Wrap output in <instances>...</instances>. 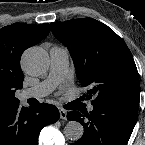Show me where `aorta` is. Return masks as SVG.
Listing matches in <instances>:
<instances>
[{
	"label": "aorta",
	"mask_w": 145,
	"mask_h": 145,
	"mask_svg": "<svg viewBox=\"0 0 145 145\" xmlns=\"http://www.w3.org/2000/svg\"><path fill=\"white\" fill-rule=\"evenodd\" d=\"M48 54L39 47L27 49L21 59L24 71L33 76L43 74L49 67ZM84 133L83 126L77 121H69L64 127V135L71 141L79 140Z\"/></svg>",
	"instance_id": "aorta-1"
}]
</instances>
